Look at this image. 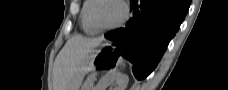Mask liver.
I'll use <instances>...</instances> for the list:
<instances>
[{
  "instance_id": "liver-1",
  "label": "liver",
  "mask_w": 228,
  "mask_h": 90,
  "mask_svg": "<svg viewBox=\"0 0 228 90\" xmlns=\"http://www.w3.org/2000/svg\"><path fill=\"white\" fill-rule=\"evenodd\" d=\"M103 40V37L87 38L74 35L66 42L55 59L53 68L54 90H67L78 66Z\"/></svg>"
}]
</instances>
